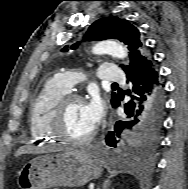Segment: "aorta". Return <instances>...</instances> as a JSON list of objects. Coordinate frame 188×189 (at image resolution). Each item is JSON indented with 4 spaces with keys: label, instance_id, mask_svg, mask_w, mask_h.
I'll use <instances>...</instances> for the list:
<instances>
[{
    "label": "aorta",
    "instance_id": "1",
    "mask_svg": "<svg viewBox=\"0 0 188 189\" xmlns=\"http://www.w3.org/2000/svg\"><path fill=\"white\" fill-rule=\"evenodd\" d=\"M92 52L97 55L109 54L113 57L123 59L127 56V49L115 40H105L98 42L92 49Z\"/></svg>",
    "mask_w": 188,
    "mask_h": 189
}]
</instances>
